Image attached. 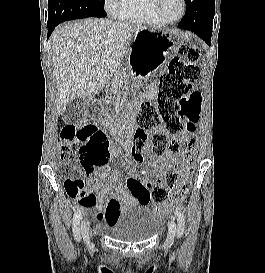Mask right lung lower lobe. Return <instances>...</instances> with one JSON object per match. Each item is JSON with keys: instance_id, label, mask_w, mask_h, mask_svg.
Masks as SVG:
<instances>
[{"instance_id": "1", "label": "right lung lower lobe", "mask_w": 265, "mask_h": 273, "mask_svg": "<svg viewBox=\"0 0 265 273\" xmlns=\"http://www.w3.org/2000/svg\"><path fill=\"white\" fill-rule=\"evenodd\" d=\"M55 27H56V25H48V34H47L48 38L51 35V33L53 32V30L55 29Z\"/></svg>"}]
</instances>
